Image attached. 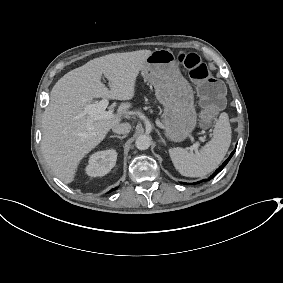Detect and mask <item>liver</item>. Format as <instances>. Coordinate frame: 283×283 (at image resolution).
<instances>
[{
	"instance_id": "liver-1",
	"label": "liver",
	"mask_w": 283,
	"mask_h": 283,
	"mask_svg": "<svg viewBox=\"0 0 283 283\" xmlns=\"http://www.w3.org/2000/svg\"><path fill=\"white\" fill-rule=\"evenodd\" d=\"M150 50L112 53L88 61L60 78L50 93L42 117L41 149L53 173L65 184L73 181L80 160L95 148L108 131L119 124L131 107L121 103L112 119L96 120L87 126L88 116L78 117L93 98L130 100L135 81ZM109 80L108 89L100 80Z\"/></svg>"
}]
</instances>
